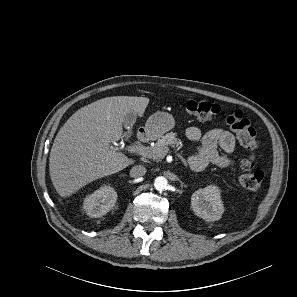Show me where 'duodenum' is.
Returning <instances> with one entry per match:
<instances>
[{
	"label": "duodenum",
	"instance_id": "1",
	"mask_svg": "<svg viewBox=\"0 0 297 297\" xmlns=\"http://www.w3.org/2000/svg\"><path fill=\"white\" fill-rule=\"evenodd\" d=\"M137 139L142 143H147L150 140L151 133L146 129H140L137 132Z\"/></svg>",
	"mask_w": 297,
	"mask_h": 297
}]
</instances>
